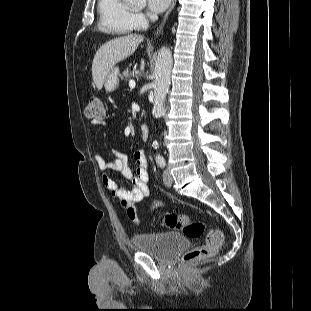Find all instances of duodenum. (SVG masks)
<instances>
[{
	"instance_id": "obj_1",
	"label": "duodenum",
	"mask_w": 311,
	"mask_h": 311,
	"mask_svg": "<svg viewBox=\"0 0 311 311\" xmlns=\"http://www.w3.org/2000/svg\"><path fill=\"white\" fill-rule=\"evenodd\" d=\"M150 130L149 126L146 124L141 125V139L147 141L149 139Z\"/></svg>"
}]
</instances>
